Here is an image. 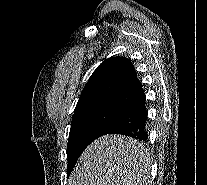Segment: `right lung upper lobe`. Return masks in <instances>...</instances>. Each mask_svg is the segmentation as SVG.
Returning a JSON list of instances; mask_svg holds the SVG:
<instances>
[{"label":"right lung upper lobe","mask_w":207,"mask_h":185,"mask_svg":"<svg viewBox=\"0 0 207 185\" xmlns=\"http://www.w3.org/2000/svg\"><path fill=\"white\" fill-rule=\"evenodd\" d=\"M143 94L130 60L111 57L93 72L80 95L74 114L99 107L124 111Z\"/></svg>","instance_id":"obj_1"}]
</instances>
